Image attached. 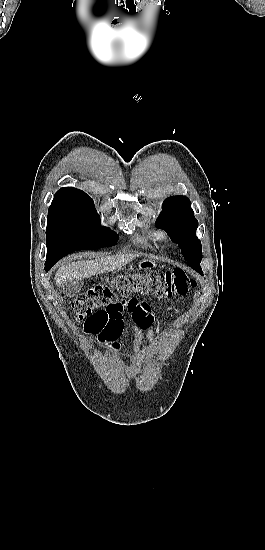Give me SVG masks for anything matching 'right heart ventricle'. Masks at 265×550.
<instances>
[{
    "mask_svg": "<svg viewBox=\"0 0 265 550\" xmlns=\"http://www.w3.org/2000/svg\"><path fill=\"white\" fill-rule=\"evenodd\" d=\"M155 240H156L155 233H149L146 236L137 237V242L146 247L150 246V243Z\"/></svg>",
    "mask_w": 265,
    "mask_h": 550,
    "instance_id": "right-heart-ventricle-1",
    "label": "right heart ventricle"
}]
</instances>
